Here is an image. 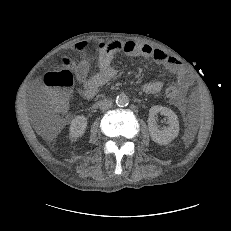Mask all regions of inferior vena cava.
<instances>
[{
	"label": "inferior vena cava",
	"mask_w": 231,
	"mask_h": 231,
	"mask_svg": "<svg viewBox=\"0 0 231 231\" xmlns=\"http://www.w3.org/2000/svg\"><path fill=\"white\" fill-rule=\"evenodd\" d=\"M113 103L109 99H104L99 102V107L101 110H108L112 107Z\"/></svg>",
	"instance_id": "602c4592"
}]
</instances>
